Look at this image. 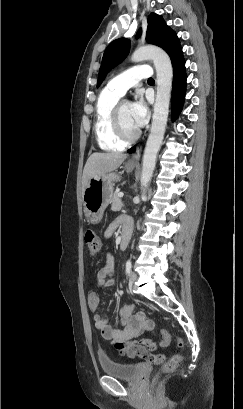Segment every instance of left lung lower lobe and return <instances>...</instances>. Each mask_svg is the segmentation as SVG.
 Listing matches in <instances>:
<instances>
[{
  "instance_id": "1",
  "label": "left lung lower lobe",
  "mask_w": 243,
  "mask_h": 409,
  "mask_svg": "<svg viewBox=\"0 0 243 409\" xmlns=\"http://www.w3.org/2000/svg\"><path fill=\"white\" fill-rule=\"evenodd\" d=\"M172 65H173V92H172V103H171V110H172V119L175 118L180 113L184 97H185V90H186V72H185V61L183 58L182 48H180L172 57H171ZM134 149L128 150L131 153Z\"/></svg>"
}]
</instances>
